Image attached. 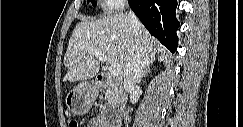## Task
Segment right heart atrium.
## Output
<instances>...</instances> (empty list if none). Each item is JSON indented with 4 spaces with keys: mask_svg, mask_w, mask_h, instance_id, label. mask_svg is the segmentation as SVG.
Returning <instances> with one entry per match:
<instances>
[{
    "mask_svg": "<svg viewBox=\"0 0 243 127\" xmlns=\"http://www.w3.org/2000/svg\"><path fill=\"white\" fill-rule=\"evenodd\" d=\"M104 5L109 13L118 12L126 4L125 0H104Z\"/></svg>",
    "mask_w": 243,
    "mask_h": 127,
    "instance_id": "d8ad5b80",
    "label": "right heart atrium"
}]
</instances>
